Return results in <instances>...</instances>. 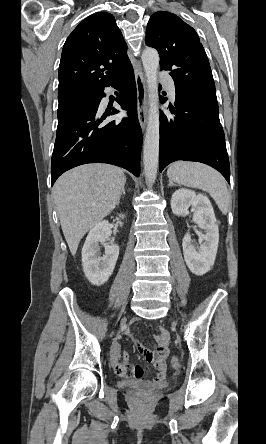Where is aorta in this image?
Returning a JSON list of instances; mask_svg holds the SVG:
<instances>
[{
	"mask_svg": "<svg viewBox=\"0 0 266 444\" xmlns=\"http://www.w3.org/2000/svg\"><path fill=\"white\" fill-rule=\"evenodd\" d=\"M159 54L156 49L147 47L142 53V63L145 71L149 111L146 134L143 146L144 173L148 182L153 183L157 176L159 158V93H158V68Z\"/></svg>",
	"mask_w": 266,
	"mask_h": 444,
	"instance_id": "aorta-1",
	"label": "aorta"
}]
</instances>
